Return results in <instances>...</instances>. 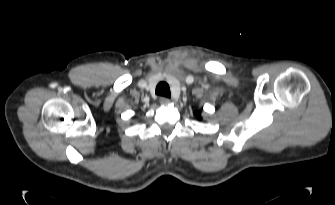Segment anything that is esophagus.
<instances>
[{"label": "esophagus", "mask_w": 335, "mask_h": 205, "mask_svg": "<svg viewBox=\"0 0 335 205\" xmlns=\"http://www.w3.org/2000/svg\"><path fill=\"white\" fill-rule=\"evenodd\" d=\"M159 101L162 105H168L170 103V100L167 97H161Z\"/></svg>", "instance_id": "obj_1"}]
</instances>
